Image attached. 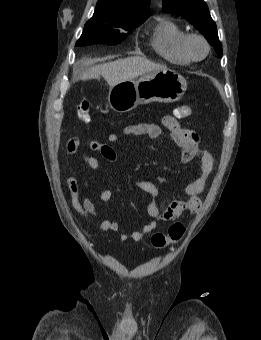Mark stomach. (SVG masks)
<instances>
[{"instance_id": "0dacf381", "label": "stomach", "mask_w": 261, "mask_h": 340, "mask_svg": "<svg viewBox=\"0 0 261 340\" xmlns=\"http://www.w3.org/2000/svg\"><path fill=\"white\" fill-rule=\"evenodd\" d=\"M186 89L187 82L183 76L164 69L110 87L108 102L114 111L125 113L140 104L178 101Z\"/></svg>"}]
</instances>
